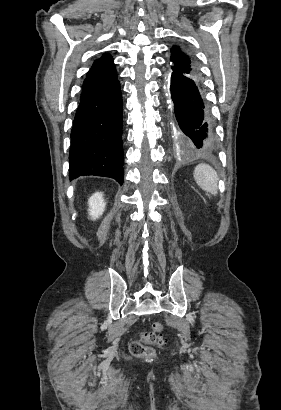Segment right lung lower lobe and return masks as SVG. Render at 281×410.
Instances as JSON below:
<instances>
[{"label": "right lung lower lobe", "instance_id": "obj_1", "mask_svg": "<svg viewBox=\"0 0 281 410\" xmlns=\"http://www.w3.org/2000/svg\"><path fill=\"white\" fill-rule=\"evenodd\" d=\"M123 103L119 81L82 94L71 131L69 177L105 176L123 183Z\"/></svg>", "mask_w": 281, "mask_h": 410}]
</instances>
